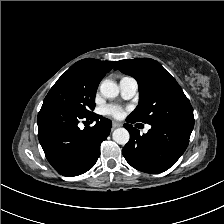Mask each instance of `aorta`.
<instances>
[{
    "mask_svg": "<svg viewBox=\"0 0 224 224\" xmlns=\"http://www.w3.org/2000/svg\"><path fill=\"white\" fill-rule=\"evenodd\" d=\"M100 92L105 98H115L119 94V87L115 82L105 80L100 85ZM112 138L116 143L125 145L130 139V134L127 129L118 128L113 131Z\"/></svg>",
    "mask_w": 224,
    "mask_h": 224,
    "instance_id": "obj_1",
    "label": "aorta"
}]
</instances>
